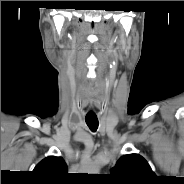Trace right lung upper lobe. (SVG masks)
Instances as JSON below:
<instances>
[{
	"mask_svg": "<svg viewBox=\"0 0 184 184\" xmlns=\"http://www.w3.org/2000/svg\"><path fill=\"white\" fill-rule=\"evenodd\" d=\"M39 181L46 184H61L67 181V165L61 157L43 159L33 170Z\"/></svg>",
	"mask_w": 184,
	"mask_h": 184,
	"instance_id": "1",
	"label": "right lung upper lobe"
}]
</instances>
